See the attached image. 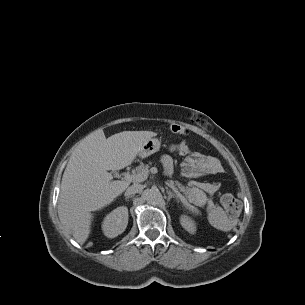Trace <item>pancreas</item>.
<instances>
[{
  "mask_svg": "<svg viewBox=\"0 0 305 305\" xmlns=\"http://www.w3.org/2000/svg\"><path fill=\"white\" fill-rule=\"evenodd\" d=\"M149 164H151V162H149ZM149 164L140 163V165L136 167L135 172L139 174L144 171H149V167H150ZM168 185L173 188L176 186L178 189L184 192L186 198L181 197L184 200V202H190L200 207L204 206L207 202H209L206 193L198 188V186L200 185L199 183H196L197 187L193 186L192 188H190V187H184L178 181L170 180Z\"/></svg>",
  "mask_w": 305,
  "mask_h": 305,
  "instance_id": "cf45deb5",
  "label": "pancreas"
}]
</instances>
